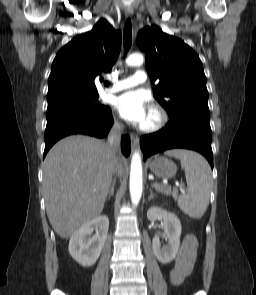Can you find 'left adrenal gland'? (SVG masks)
<instances>
[{"label": "left adrenal gland", "instance_id": "left-adrenal-gland-1", "mask_svg": "<svg viewBox=\"0 0 256 295\" xmlns=\"http://www.w3.org/2000/svg\"><path fill=\"white\" fill-rule=\"evenodd\" d=\"M149 198H148V200L150 201L151 199H153L154 197H155V195H154V193H153V190L152 189H150L149 190Z\"/></svg>", "mask_w": 256, "mask_h": 295}]
</instances>
